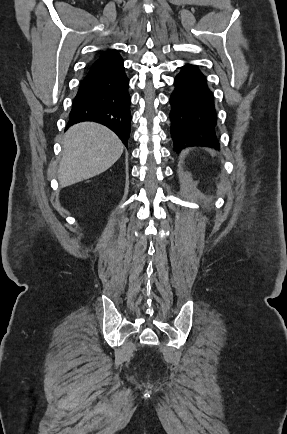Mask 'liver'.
Masks as SVG:
<instances>
[{"mask_svg": "<svg viewBox=\"0 0 287 434\" xmlns=\"http://www.w3.org/2000/svg\"><path fill=\"white\" fill-rule=\"evenodd\" d=\"M58 180L61 187L87 180L109 169L122 155L121 140L94 122L72 126L64 135Z\"/></svg>", "mask_w": 287, "mask_h": 434, "instance_id": "1", "label": "liver"}]
</instances>
